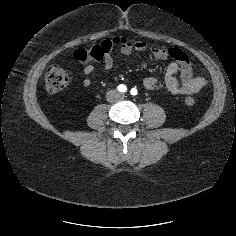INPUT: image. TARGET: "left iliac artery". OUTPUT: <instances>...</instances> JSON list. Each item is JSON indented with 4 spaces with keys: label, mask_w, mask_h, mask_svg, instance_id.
<instances>
[{
    "label": "left iliac artery",
    "mask_w": 236,
    "mask_h": 236,
    "mask_svg": "<svg viewBox=\"0 0 236 236\" xmlns=\"http://www.w3.org/2000/svg\"><path fill=\"white\" fill-rule=\"evenodd\" d=\"M130 93H131V95L135 96V95H137L138 91L136 88H132Z\"/></svg>",
    "instance_id": "obj_1"
}]
</instances>
